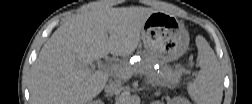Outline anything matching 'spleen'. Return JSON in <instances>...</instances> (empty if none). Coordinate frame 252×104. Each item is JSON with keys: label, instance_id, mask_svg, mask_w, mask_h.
Instances as JSON below:
<instances>
[{"label": "spleen", "instance_id": "obj_1", "mask_svg": "<svg viewBox=\"0 0 252 104\" xmlns=\"http://www.w3.org/2000/svg\"><path fill=\"white\" fill-rule=\"evenodd\" d=\"M200 71L187 86L191 99L197 104H219L223 96L222 72L217 57L208 42L197 36Z\"/></svg>", "mask_w": 252, "mask_h": 104}]
</instances>
